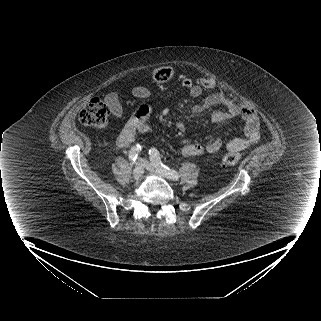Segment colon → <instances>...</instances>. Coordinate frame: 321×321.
Wrapping results in <instances>:
<instances>
[{
    "mask_svg": "<svg viewBox=\"0 0 321 321\" xmlns=\"http://www.w3.org/2000/svg\"><path fill=\"white\" fill-rule=\"evenodd\" d=\"M173 76V70L170 67H158L153 72V78L157 82H167ZM196 83L204 88L211 89L215 86V81L212 78H204L198 76ZM110 109L108 104L99 97L91 98L80 110L79 121L86 126L102 127L107 123ZM242 159V155L238 152H229L221 158V163L224 166L236 165Z\"/></svg>",
    "mask_w": 321,
    "mask_h": 321,
    "instance_id": "5ec220e1",
    "label": "colon"
}]
</instances>
